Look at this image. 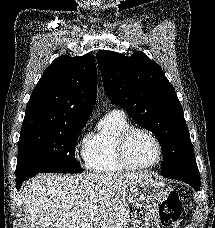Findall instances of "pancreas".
Returning a JSON list of instances; mask_svg holds the SVG:
<instances>
[{
	"label": "pancreas",
	"mask_w": 215,
	"mask_h": 228,
	"mask_svg": "<svg viewBox=\"0 0 215 228\" xmlns=\"http://www.w3.org/2000/svg\"><path fill=\"white\" fill-rule=\"evenodd\" d=\"M132 224L131 228H139L140 224H142V220L140 216H138L137 212H133L131 216Z\"/></svg>",
	"instance_id": "pancreas-1"
}]
</instances>
